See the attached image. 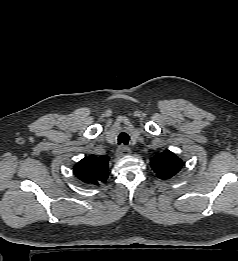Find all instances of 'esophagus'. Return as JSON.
<instances>
[{"mask_svg": "<svg viewBox=\"0 0 238 261\" xmlns=\"http://www.w3.org/2000/svg\"><path fill=\"white\" fill-rule=\"evenodd\" d=\"M130 153H131V150L128 147L121 145L117 149L116 155L118 157H122V156H125V155H129Z\"/></svg>", "mask_w": 238, "mask_h": 261, "instance_id": "34e87169", "label": "esophagus"}]
</instances>
